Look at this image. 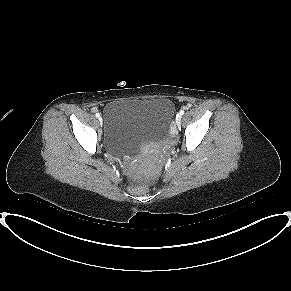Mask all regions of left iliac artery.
<instances>
[{"label":"left iliac artery","mask_w":291,"mask_h":291,"mask_svg":"<svg viewBox=\"0 0 291 291\" xmlns=\"http://www.w3.org/2000/svg\"><path fill=\"white\" fill-rule=\"evenodd\" d=\"M179 114L182 116L184 114V110H180Z\"/></svg>","instance_id":"left-iliac-artery-1"}]
</instances>
